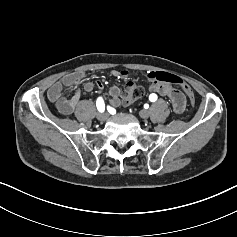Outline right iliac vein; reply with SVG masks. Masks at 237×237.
Listing matches in <instances>:
<instances>
[{
    "instance_id": "obj_1",
    "label": "right iliac vein",
    "mask_w": 237,
    "mask_h": 237,
    "mask_svg": "<svg viewBox=\"0 0 237 237\" xmlns=\"http://www.w3.org/2000/svg\"><path fill=\"white\" fill-rule=\"evenodd\" d=\"M107 118V114L106 113H99L97 114V119L99 121H104Z\"/></svg>"
}]
</instances>
